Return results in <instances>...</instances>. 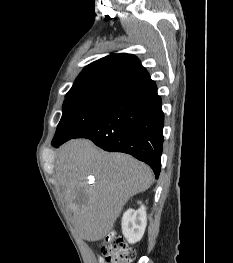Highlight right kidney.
<instances>
[{
	"mask_svg": "<svg viewBox=\"0 0 233 263\" xmlns=\"http://www.w3.org/2000/svg\"><path fill=\"white\" fill-rule=\"evenodd\" d=\"M141 204V202H140ZM147 225L146 207L138 210L128 209L122 217V233L127 241L134 244L141 240Z\"/></svg>",
	"mask_w": 233,
	"mask_h": 263,
	"instance_id": "ca27d5eb",
	"label": "right kidney"
}]
</instances>
